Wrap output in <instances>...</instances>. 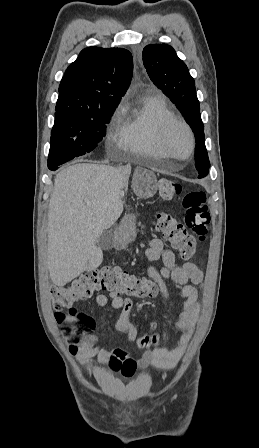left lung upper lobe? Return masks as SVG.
Returning a JSON list of instances; mask_svg holds the SVG:
<instances>
[{
	"instance_id": "1",
	"label": "left lung upper lobe",
	"mask_w": 259,
	"mask_h": 448,
	"mask_svg": "<svg viewBox=\"0 0 259 448\" xmlns=\"http://www.w3.org/2000/svg\"><path fill=\"white\" fill-rule=\"evenodd\" d=\"M143 63L153 83L175 103L191 126L196 138L195 166L199 173H208L210 162L204 141V125L195 81L187 66L167 44L146 46Z\"/></svg>"
}]
</instances>
